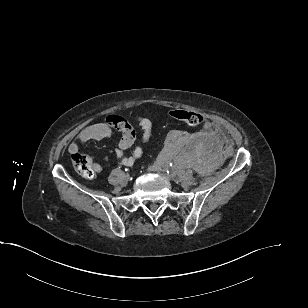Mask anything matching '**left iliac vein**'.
Masks as SVG:
<instances>
[{
  "mask_svg": "<svg viewBox=\"0 0 308 308\" xmlns=\"http://www.w3.org/2000/svg\"><path fill=\"white\" fill-rule=\"evenodd\" d=\"M152 170L160 173L163 177H165L167 180H171L173 179V175L172 174H167L165 169L162 167V165H160L159 163H156L152 166Z\"/></svg>",
  "mask_w": 308,
  "mask_h": 308,
  "instance_id": "left-iliac-vein-1",
  "label": "left iliac vein"
}]
</instances>
